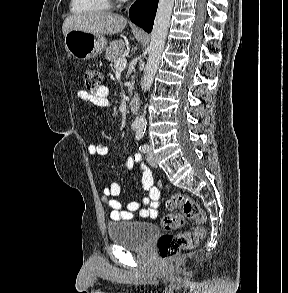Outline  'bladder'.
Returning a JSON list of instances; mask_svg holds the SVG:
<instances>
[{
    "mask_svg": "<svg viewBox=\"0 0 288 293\" xmlns=\"http://www.w3.org/2000/svg\"><path fill=\"white\" fill-rule=\"evenodd\" d=\"M106 231L110 241L133 250L145 248L159 232L151 223L127 221L110 222Z\"/></svg>",
    "mask_w": 288,
    "mask_h": 293,
    "instance_id": "31cf9c89",
    "label": "bladder"
}]
</instances>
